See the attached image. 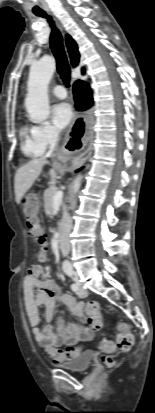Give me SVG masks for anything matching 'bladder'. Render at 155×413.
<instances>
[{
  "mask_svg": "<svg viewBox=\"0 0 155 413\" xmlns=\"http://www.w3.org/2000/svg\"><path fill=\"white\" fill-rule=\"evenodd\" d=\"M92 361L93 353L91 351H85L70 359L66 363L57 364V367L72 372H85L91 366Z\"/></svg>",
  "mask_w": 155,
  "mask_h": 413,
  "instance_id": "bladder-1",
  "label": "bladder"
}]
</instances>
